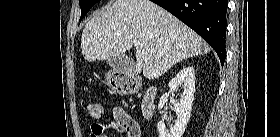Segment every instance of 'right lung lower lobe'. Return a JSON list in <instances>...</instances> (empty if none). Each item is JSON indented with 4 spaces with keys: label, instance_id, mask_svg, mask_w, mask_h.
Listing matches in <instances>:
<instances>
[{
    "label": "right lung lower lobe",
    "instance_id": "obj_1",
    "mask_svg": "<svg viewBox=\"0 0 280 137\" xmlns=\"http://www.w3.org/2000/svg\"><path fill=\"white\" fill-rule=\"evenodd\" d=\"M204 38L216 51L221 64L226 58L227 0H151Z\"/></svg>",
    "mask_w": 280,
    "mask_h": 137
}]
</instances>
